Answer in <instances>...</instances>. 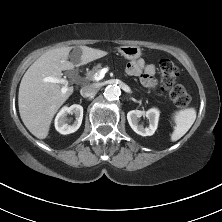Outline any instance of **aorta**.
I'll list each match as a JSON object with an SVG mask.
<instances>
[{
  "mask_svg": "<svg viewBox=\"0 0 222 222\" xmlns=\"http://www.w3.org/2000/svg\"><path fill=\"white\" fill-rule=\"evenodd\" d=\"M120 95H121V90L116 85H109L106 87V89L104 91V97L108 101L118 100Z\"/></svg>",
  "mask_w": 222,
  "mask_h": 222,
  "instance_id": "aorta-1",
  "label": "aorta"
}]
</instances>
